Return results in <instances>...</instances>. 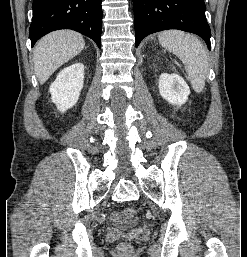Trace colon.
<instances>
[{
	"mask_svg": "<svg viewBox=\"0 0 247 257\" xmlns=\"http://www.w3.org/2000/svg\"><path fill=\"white\" fill-rule=\"evenodd\" d=\"M123 215L128 220H133L136 216V210L133 207H126L123 210ZM120 252L126 253L130 250L128 243H120L118 246Z\"/></svg>",
	"mask_w": 247,
	"mask_h": 257,
	"instance_id": "obj_1",
	"label": "colon"
}]
</instances>
